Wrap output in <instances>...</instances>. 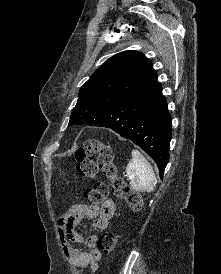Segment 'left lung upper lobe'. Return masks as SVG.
Masks as SVG:
<instances>
[{
	"mask_svg": "<svg viewBox=\"0 0 221 274\" xmlns=\"http://www.w3.org/2000/svg\"><path fill=\"white\" fill-rule=\"evenodd\" d=\"M156 75L151 61L137 51H124L109 58L82 86L70 116L71 124L91 125L97 109L136 98Z\"/></svg>",
	"mask_w": 221,
	"mask_h": 274,
	"instance_id": "5c2ea615",
	"label": "left lung upper lobe"
}]
</instances>
